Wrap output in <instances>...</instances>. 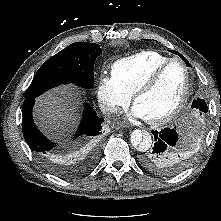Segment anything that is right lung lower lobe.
I'll return each mask as SVG.
<instances>
[{"label": "right lung lower lobe", "mask_w": 221, "mask_h": 221, "mask_svg": "<svg viewBox=\"0 0 221 221\" xmlns=\"http://www.w3.org/2000/svg\"><path fill=\"white\" fill-rule=\"evenodd\" d=\"M35 98L25 99L22 112V130L25 141L32 151H34L39 160L52 172L60 174L63 177H72L76 175L75 170H63L58 168L65 158L52 151L54 143L44 137L34 124L32 118V108ZM103 119L98 117L94 109L86 104L84 107L83 117L78 127L75 137L86 135L94 137L100 134Z\"/></svg>", "instance_id": "98d812e1"}]
</instances>
